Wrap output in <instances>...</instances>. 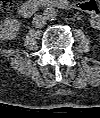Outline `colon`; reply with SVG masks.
Returning <instances> with one entry per match:
<instances>
[{"instance_id":"obj_1","label":"colon","mask_w":100,"mask_h":118,"mask_svg":"<svg viewBox=\"0 0 100 118\" xmlns=\"http://www.w3.org/2000/svg\"><path fill=\"white\" fill-rule=\"evenodd\" d=\"M14 4V0H1V9L2 11L6 12L11 9ZM85 10L91 13V22L94 25H97L100 20V10L99 5L95 0L86 1L83 4Z\"/></svg>"}]
</instances>
